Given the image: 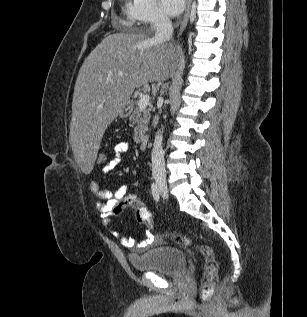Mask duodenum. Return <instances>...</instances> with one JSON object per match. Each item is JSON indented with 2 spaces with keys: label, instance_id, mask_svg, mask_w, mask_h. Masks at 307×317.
<instances>
[{
  "label": "duodenum",
  "instance_id": "duodenum-1",
  "mask_svg": "<svg viewBox=\"0 0 307 317\" xmlns=\"http://www.w3.org/2000/svg\"><path fill=\"white\" fill-rule=\"evenodd\" d=\"M140 144L142 147H146L148 145V137L147 136H142L140 138Z\"/></svg>",
  "mask_w": 307,
  "mask_h": 317
}]
</instances>
